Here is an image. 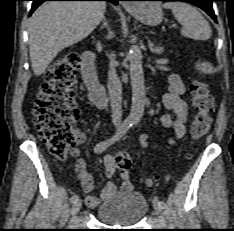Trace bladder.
Instances as JSON below:
<instances>
[{"label":"bladder","instance_id":"obj_1","mask_svg":"<svg viewBox=\"0 0 234 231\" xmlns=\"http://www.w3.org/2000/svg\"><path fill=\"white\" fill-rule=\"evenodd\" d=\"M147 199L135 191L120 192L107 199L97 210L98 220L112 225H134L147 214Z\"/></svg>","mask_w":234,"mask_h":231}]
</instances>
